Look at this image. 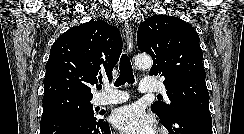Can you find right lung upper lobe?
Returning a JSON list of instances; mask_svg holds the SVG:
<instances>
[{
	"label": "right lung upper lobe",
	"instance_id": "cb5924a9",
	"mask_svg": "<svg viewBox=\"0 0 244 134\" xmlns=\"http://www.w3.org/2000/svg\"><path fill=\"white\" fill-rule=\"evenodd\" d=\"M121 51L119 30L105 21L69 29L51 47L43 100L62 96L92 99L90 86L104 76L112 78Z\"/></svg>",
	"mask_w": 244,
	"mask_h": 134
}]
</instances>
